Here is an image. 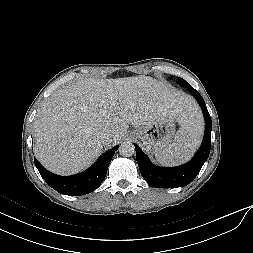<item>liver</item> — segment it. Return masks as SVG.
<instances>
[{
	"label": "liver",
	"mask_w": 253,
	"mask_h": 253,
	"mask_svg": "<svg viewBox=\"0 0 253 253\" xmlns=\"http://www.w3.org/2000/svg\"><path fill=\"white\" fill-rule=\"evenodd\" d=\"M190 100L148 76L84 79L57 89L38 110L34 152L56 174H75L103 147L115 145L129 124L143 126L170 117L181 123ZM111 134L102 144L99 136Z\"/></svg>",
	"instance_id": "1"
}]
</instances>
